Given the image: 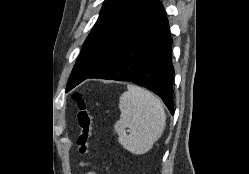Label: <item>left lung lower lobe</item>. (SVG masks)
<instances>
[{
    "instance_id": "0a47b994",
    "label": "left lung lower lobe",
    "mask_w": 249,
    "mask_h": 174,
    "mask_svg": "<svg viewBox=\"0 0 249 174\" xmlns=\"http://www.w3.org/2000/svg\"><path fill=\"white\" fill-rule=\"evenodd\" d=\"M171 45L168 20L162 8L104 67L88 78L131 81L146 87L157 94L173 114ZM85 79L74 80L69 90Z\"/></svg>"
}]
</instances>
